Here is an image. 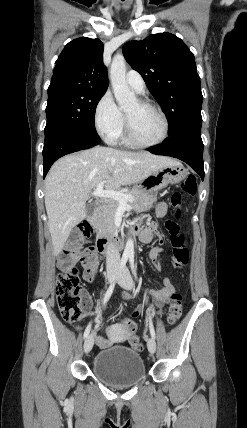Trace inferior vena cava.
<instances>
[{"label":"inferior vena cava","instance_id":"602c4592","mask_svg":"<svg viewBox=\"0 0 247 428\" xmlns=\"http://www.w3.org/2000/svg\"><path fill=\"white\" fill-rule=\"evenodd\" d=\"M119 264H120L119 250L113 243H109L106 249L107 269L117 268Z\"/></svg>","mask_w":247,"mask_h":428}]
</instances>
